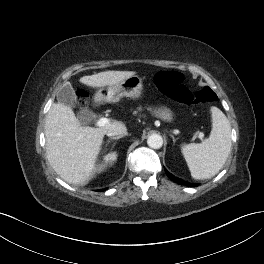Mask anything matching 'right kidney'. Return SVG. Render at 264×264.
Wrapping results in <instances>:
<instances>
[{
    "instance_id": "right-kidney-1",
    "label": "right kidney",
    "mask_w": 264,
    "mask_h": 264,
    "mask_svg": "<svg viewBox=\"0 0 264 264\" xmlns=\"http://www.w3.org/2000/svg\"><path fill=\"white\" fill-rule=\"evenodd\" d=\"M116 160V154L115 153H112V154H109L107 157H106V161H114Z\"/></svg>"
}]
</instances>
